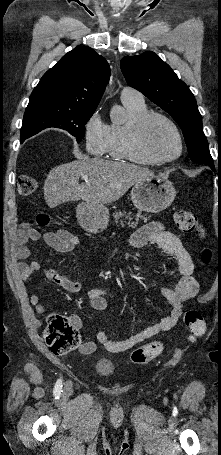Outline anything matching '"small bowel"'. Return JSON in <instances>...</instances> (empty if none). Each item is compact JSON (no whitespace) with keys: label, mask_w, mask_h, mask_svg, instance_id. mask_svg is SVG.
Listing matches in <instances>:
<instances>
[{"label":"small bowel","mask_w":221,"mask_h":455,"mask_svg":"<svg viewBox=\"0 0 221 455\" xmlns=\"http://www.w3.org/2000/svg\"><path fill=\"white\" fill-rule=\"evenodd\" d=\"M41 238L51 248L63 253L73 251L80 242L77 236L65 229L41 233L29 224L21 225L16 254L22 280H27L32 274L41 269V265L36 261L25 262L29 255L28 241H37ZM147 244L161 247L166 252L174 255L178 261L176 268L168 269V274L176 281L174 287H161V293L166 297L170 311L157 323L119 341L108 337L106 331L100 328L97 331V340L109 352L129 350L153 336L171 330L183 315L184 304L195 298L199 292V284L193 276L195 268L193 259L182 245L178 236L166 230L161 224L153 223L136 231L129 240V245L132 248ZM44 275L50 282L59 285L68 293H77L81 288V283L73 280L68 273H58L53 268H47L44 269ZM86 297L89 298L93 310L103 312L107 307V298L112 297V294L102 289H89L86 291ZM30 302L38 314L46 312V307L41 303L38 295H32ZM70 319L77 329L81 328L82 322L78 316H71ZM95 350L96 343L93 341L85 342L80 347V352L83 354H91Z\"/></svg>","instance_id":"obj_1"}]
</instances>
